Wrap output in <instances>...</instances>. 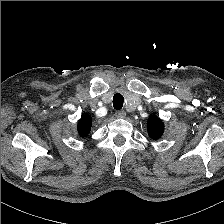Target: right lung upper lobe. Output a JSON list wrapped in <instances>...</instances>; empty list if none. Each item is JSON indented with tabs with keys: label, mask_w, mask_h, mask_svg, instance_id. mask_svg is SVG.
<instances>
[{
	"label": "right lung upper lobe",
	"mask_w": 224,
	"mask_h": 224,
	"mask_svg": "<svg viewBox=\"0 0 224 224\" xmlns=\"http://www.w3.org/2000/svg\"><path fill=\"white\" fill-rule=\"evenodd\" d=\"M92 126V118L86 114L78 122V133L82 137L88 136Z\"/></svg>",
	"instance_id": "cb5924a9"
}]
</instances>
